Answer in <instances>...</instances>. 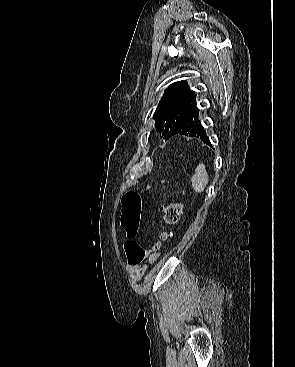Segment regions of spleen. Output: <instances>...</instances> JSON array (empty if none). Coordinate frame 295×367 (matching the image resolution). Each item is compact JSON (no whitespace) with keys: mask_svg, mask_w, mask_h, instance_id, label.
<instances>
[{"mask_svg":"<svg viewBox=\"0 0 295 367\" xmlns=\"http://www.w3.org/2000/svg\"><path fill=\"white\" fill-rule=\"evenodd\" d=\"M192 187L196 192H202L208 183V174L205 164H199L195 169V174L192 176Z\"/></svg>","mask_w":295,"mask_h":367,"instance_id":"3e777b00","label":"spleen"}]
</instances>
